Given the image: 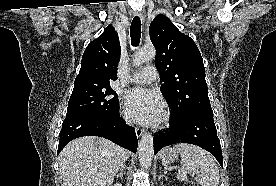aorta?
<instances>
[{
  "label": "aorta",
  "mask_w": 276,
  "mask_h": 186,
  "mask_svg": "<svg viewBox=\"0 0 276 186\" xmlns=\"http://www.w3.org/2000/svg\"><path fill=\"white\" fill-rule=\"evenodd\" d=\"M156 50L154 47H145L138 50L133 57V65L138 67L147 61L154 60ZM139 161L143 168H149L154 155L153 137L150 133H145L141 137L138 145Z\"/></svg>",
  "instance_id": "aorta-1"
}]
</instances>
